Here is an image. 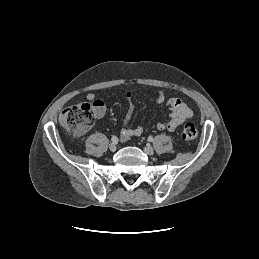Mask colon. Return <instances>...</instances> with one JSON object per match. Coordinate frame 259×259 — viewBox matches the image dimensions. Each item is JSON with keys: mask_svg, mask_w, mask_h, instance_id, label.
I'll return each mask as SVG.
<instances>
[{"mask_svg": "<svg viewBox=\"0 0 259 259\" xmlns=\"http://www.w3.org/2000/svg\"><path fill=\"white\" fill-rule=\"evenodd\" d=\"M95 118V104L79 103L65 108L59 121L62 127L74 135L84 134L93 125ZM198 136V130L192 123H187L182 130V138L193 141Z\"/></svg>", "mask_w": 259, "mask_h": 259, "instance_id": "5ec220e1", "label": "colon"}]
</instances>
